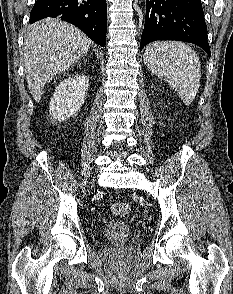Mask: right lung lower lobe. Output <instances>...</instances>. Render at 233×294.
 Segmentation results:
<instances>
[{
  "label": "right lung lower lobe",
  "mask_w": 233,
  "mask_h": 294,
  "mask_svg": "<svg viewBox=\"0 0 233 294\" xmlns=\"http://www.w3.org/2000/svg\"><path fill=\"white\" fill-rule=\"evenodd\" d=\"M47 17H58L72 23L96 44H106V0H37L29 23Z\"/></svg>",
  "instance_id": "obj_1"
}]
</instances>
